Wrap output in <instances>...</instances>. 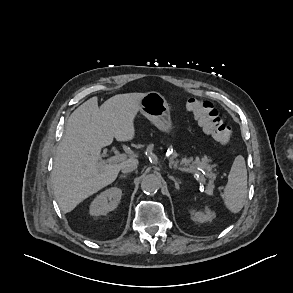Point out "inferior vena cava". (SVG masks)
Masks as SVG:
<instances>
[{"label": "inferior vena cava", "mask_w": 293, "mask_h": 293, "mask_svg": "<svg viewBox=\"0 0 293 293\" xmlns=\"http://www.w3.org/2000/svg\"><path fill=\"white\" fill-rule=\"evenodd\" d=\"M138 161L137 160H128L121 165L122 173H129L137 169Z\"/></svg>", "instance_id": "1"}]
</instances>
